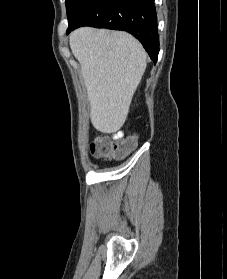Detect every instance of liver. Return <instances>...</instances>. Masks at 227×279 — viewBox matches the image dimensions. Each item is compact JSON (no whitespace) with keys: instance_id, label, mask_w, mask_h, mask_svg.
<instances>
[{"instance_id":"obj_1","label":"liver","mask_w":227,"mask_h":279,"mask_svg":"<svg viewBox=\"0 0 227 279\" xmlns=\"http://www.w3.org/2000/svg\"><path fill=\"white\" fill-rule=\"evenodd\" d=\"M69 42L81 66L92 125L102 133L118 131L146 69L145 50L126 32L91 27L73 31Z\"/></svg>"}]
</instances>
